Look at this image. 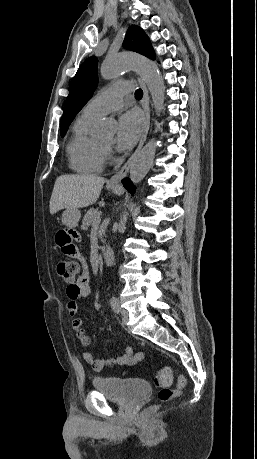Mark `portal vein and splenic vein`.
<instances>
[{
	"label": "portal vein and splenic vein",
	"instance_id": "portal-vein-and-splenic-vein-1",
	"mask_svg": "<svg viewBox=\"0 0 257 459\" xmlns=\"http://www.w3.org/2000/svg\"><path fill=\"white\" fill-rule=\"evenodd\" d=\"M100 215H101V214H99V215L97 216V218L94 219V221H93V226H98V225L100 224V222H101V217H100Z\"/></svg>",
	"mask_w": 257,
	"mask_h": 459
}]
</instances>
